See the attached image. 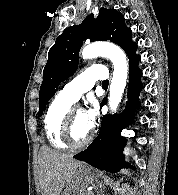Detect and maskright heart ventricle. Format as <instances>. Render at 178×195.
<instances>
[{
	"label": "right heart ventricle",
	"instance_id": "obj_1",
	"mask_svg": "<svg viewBox=\"0 0 178 195\" xmlns=\"http://www.w3.org/2000/svg\"><path fill=\"white\" fill-rule=\"evenodd\" d=\"M72 101L61 93L53 99L45 114V133L50 145L58 150L67 149L68 146L61 139V128L67 112L71 109Z\"/></svg>",
	"mask_w": 178,
	"mask_h": 195
}]
</instances>
